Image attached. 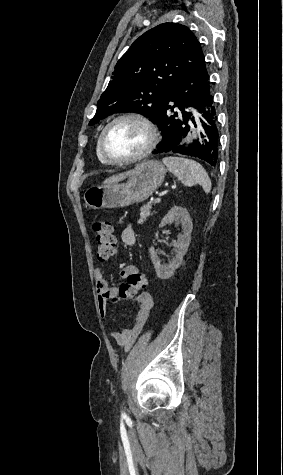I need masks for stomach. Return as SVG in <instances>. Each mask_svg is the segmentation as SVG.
<instances>
[{
  "mask_svg": "<svg viewBox=\"0 0 283 475\" xmlns=\"http://www.w3.org/2000/svg\"><path fill=\"white\" fill-rule=\"evenodd\" d=\"M166 170L158 160H143L132 170L126 184H109L88 188L85 204L92 210L124 208L135 202H143L164 182Z\"/></svg>",
  "mask_w": 283,
  "mask_h": 475,
  "instance_id": "0dacf381",
  "label": "stomach"
}]
</instances>
